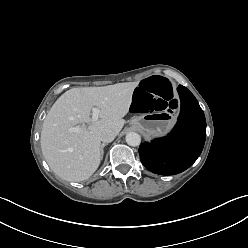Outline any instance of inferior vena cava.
I'll use <instances>...</instances> for the list:
<instances>
[{
    "mask_svg": "<svg viewBox=\"0 0 248 248\" xmlns=\"http://www.w3.org/2000/svg\"><path fill=\"white\" fill-rule=\"evenodd\" d=\"M116 134L111 129L105 128L98 133V138L103 143H110L114 140Z\"/></svg>",
    "mask_w": 248,
    "mask_h": 248,
    "instance_id": "1",
    "label": "inferior vena cava"
}]
</instances>
